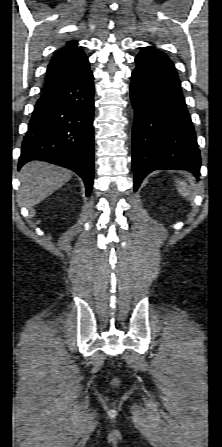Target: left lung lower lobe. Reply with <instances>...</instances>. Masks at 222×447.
I'll return each mask as SVG.
<instances>
[{
    "mask_svg": "<svg viewBox=\"0 0 222 447\" xmlns=\"http://www.w3.org/2000/svg\"><path fill=\"white\" fill-rule=\"evenodd\" d=\"M135 63L130 86L134 190L154 170H189L198 177L200 153L174 64L154 47L141 50Z\"/></svg>",
    "mask_w": 222,
    "mask_h": 447,
    "instance_id": "1",
    "label": "left lung lower lobe"
}]
</instances>
